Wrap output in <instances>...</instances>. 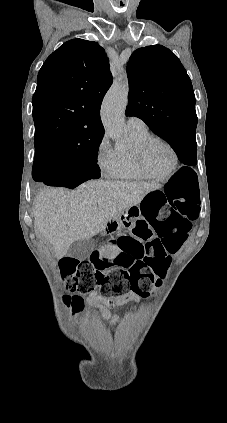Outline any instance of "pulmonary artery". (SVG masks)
Returning <instances> with one entry per match:
<instances>
[{"mask_svg":"<svg viewBox=\"0 0 227 423\" xmlns=\"http://www.w3.org/2000/svg\"><path fill=\"white\" fill-rule=\"evenodd\" d=\"M127 130H145L146 124L138 117H129L126 122Z\"/></svg>","mask_w":227,"mask_h":423,"instance_id":"1","label":"pulmonary artery"}]
</instances>
